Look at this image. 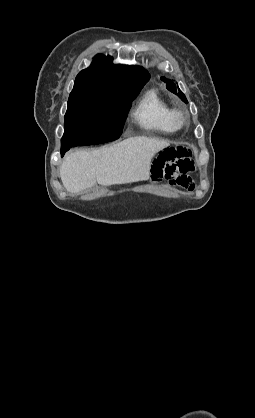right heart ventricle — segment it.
<instances>
[{
  "label": "right heart ventricle",
  "mask_w": 255,
  "mask_h": 418,
  "mask_svg": "<svg viewBox=\"0 0 255 418\" xmlns=\"http://www.w3.org/2000/svg\"><path fill=\"white\" fill-rule=\"evenodd\" d=\"M172 107L155 89L147 90L139 99L133 119L143 130L152 133H172L170 115Z\"/></svg>",
  "instance_id": "obj_1"
}]
</instances>
